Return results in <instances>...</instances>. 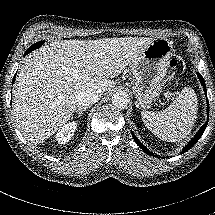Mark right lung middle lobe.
I'll return each mask as SVG.
<instances>
[{"label": "right lung middle lobe", "mask_w": 215, "mask_h": 215, "mask_svg": "<svg viewBox=\"0 0 215 215\" xmlns=\"http://www.w3.org/2000/svg\"><path fill=\"white\" fill-rule=\"evenodd\" d=\"M43 43H44V41H39V42L33 44L32 46H30V47L27 49L28 53H29V52H32V51L35 50V49H38Z\"/></svg>", "instance_id": "dd1d6c3e"}]
</instances>
